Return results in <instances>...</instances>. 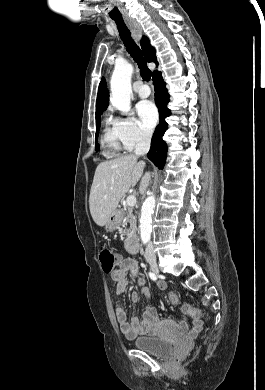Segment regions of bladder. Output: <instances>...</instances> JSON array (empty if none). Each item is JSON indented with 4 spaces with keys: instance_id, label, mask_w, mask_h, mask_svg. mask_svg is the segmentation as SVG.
Instances as JSON below:
<instances>
[{
    "instance_id": "bladder-1",
    "label": "bladder",
    "mask_w": 265,
    "mask_h": 390,
    "mask_svg": "<svg viewBox=\"0 0 265 390\" xmlns=\"http://www.w3.org/2000/svg\"><path fill=\"white\" fill-rule=\"evenodd\" d=\"M133 346L153 355L169 354L173 351V344L156 336H138L132 341Z\"/></svg>"
}]
</instances>
